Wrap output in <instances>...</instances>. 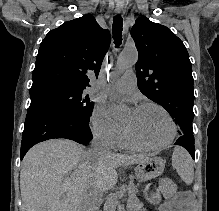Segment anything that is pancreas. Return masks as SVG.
Masks as SVG:
<instances>
[{
    "instance_id": "obj_1",
    "label": "pancreas",
    "mask_w": 219,
    "mask_h": 211,
    "mask_svg": "<svg viewBox=\"0 0 219 211\" xmlns=\"http://www.w3.org/2000/svg\"><path fill=\"white\" fill-rule=\"evenodd\" d=\"M131 199H127V211H138V207H141V202H138V198L130 197Z\"/></svg>"
}]
</instances>
